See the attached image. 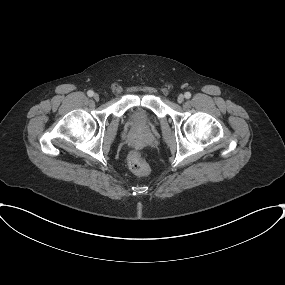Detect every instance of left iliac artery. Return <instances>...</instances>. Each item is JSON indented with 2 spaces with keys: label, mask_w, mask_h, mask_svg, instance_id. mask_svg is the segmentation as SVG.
Masks as SVG:
<instances>
[{
  "label": "left iliac artery",
  "mask_w": 285,
  "mask_h": 285,
  "mask_svg": "<svg viewBox=\"0 0 285 285\" xmlns=\"http://www.w3.org/2000/svg\"><path fill=\"white\" fill-rule=\"evenodd\" d=\"M184 96H185L186 99H189L191 97V93L190 92H186Z\"/></svg>",
  "instance_id": "obj_1"
}]
</instances>
